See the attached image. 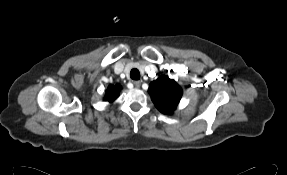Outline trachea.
<instances>
[{
    "label": "trachea",
    "instance_id": "1",
    "mask_svg": "<svg viewBox=\"0 0 287 175\" xmlns=\"http://www.w3.org/2000/svg\"><path fill=\"white\" fill-rule=\"evenodd\" d=\"M130 77L133 80H139L140 79V72L138 69L134 68L130 72Z\"/></svg>",
    "mask_w": 287,
    "mask_h": 175
}]
</instances>
